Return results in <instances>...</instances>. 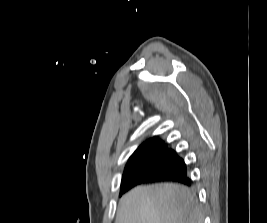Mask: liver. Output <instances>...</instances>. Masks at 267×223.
Instances as JSON below:
<instances>
[{
	"label": "liver",
	"mask_w": 267,
	"mask_h": 223,
	"mask_svg": "<svg viewBox=\"0 0 267 223\" xmlns=\"http://www.w3.org/2000/svg\"><path fill=\"white\" fill-rule=\"evenodd\" d=\"M115 223H203L188 188L172 183L137 187L119 203Z\"/></svg>",
	"instance_id": "1"
}]
</instances>
